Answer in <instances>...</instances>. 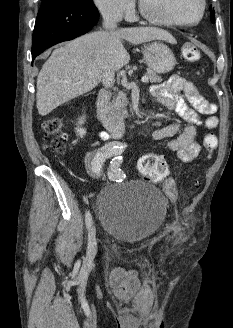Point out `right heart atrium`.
Returning a JSON list of instances; mask_svg holds the SVG:
<instances>
[{
	"mask_svg": "<svg viewBox=\"0 0 233 328\" xmlns=\"http://www.w3.org/2000/svg\"><path fill=\"white\" fill-rule=\"evenodd\" d=\"M93 2L99 12L111 20L129 18L134 10L133 0H93Z\"/></svg>",
	"mask_w": 233,
	"mask_h": 328,
	"instance_id": "1",
	"label": "right heart atrium"
}]
</instances>
